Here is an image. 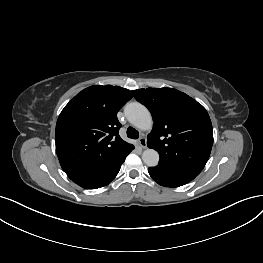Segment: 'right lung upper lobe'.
Wrapping results in <instances>:
<instances>
[{
  "label": "right lung upper lobe",
  "mask_w": 263,
  "mask_h": 263,
  "mask_svg": "<svg viewBox=\"0 0 263 263\" xmlns=\"http://www.w3.org/2000/svg\"><path fill=\"white\" fill-rule=\"evenodd\" d=\"M131 98L128 89L94 85L64 107L56 124V152L70 179L98 172L134 147L119 136L117 119Z\"/></svg>",
  "instance_id": "1"
}]
</instances>
